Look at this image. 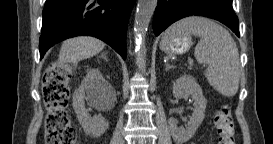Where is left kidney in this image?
I'll return each instance as SVG.
<instances>
[{
    "instance_id": "1",
    "label": "left kidney",
    "mask_w": 273,
    "mask_h": 144,
    "mask_svg": "<svg viewBox=\"0 0 273 144\" xmlns=\"http://www.w3.org/2000/svg\"><path fill=\"white\" fill-rule=\"evenodd\" d=\"M173 95L177 99L190 95L194 100L193 113L186 128H178L174 118L169 121L173 139L178 144H183L193 137L198 127L201 125L205 117L206 99L203 96L201 87L195 79L189 75L180 76L175 81L173 85Z\"/></svg>"
}]
</instances>
